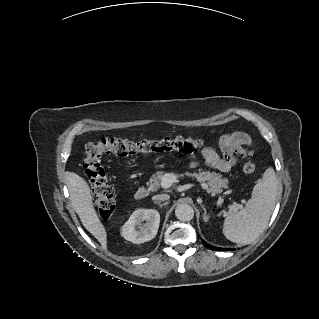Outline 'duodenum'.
<instances>
[{"mask_svg": "<svg viewBox=\"0 0 319 319\" xmlns=\"http://www.w3.org/2000/svg\"><path fill=\"white\" fill-rule=\"evenodd\" d=\"M148 195H149L148 189L141 186L135 191L134 197L137 200H143V199L147 198Z\"/></svg>", "mask_w": 319, "mask_h": 319, "instance_id": "410a0bca", "label": "duodenum"}]
</instances>
